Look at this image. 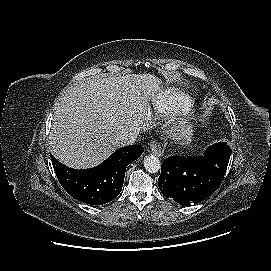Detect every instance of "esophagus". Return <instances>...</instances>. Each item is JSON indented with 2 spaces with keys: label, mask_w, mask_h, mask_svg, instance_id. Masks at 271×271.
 Listing matches in <instances>:
<instances>
[{
  "label": "esophagus",
  "mask_w": 271,
  "mask_h": 271,
  "mask_svg": "<svg viewBox=\"0 0 271 271\" xmlns=\"http://www.w3.org/2000/svg\"><path fill=\"white\" fill-rule=\"evenodd\" d=\"M150 150L153 154H155L157 156H162V154H163L161 145L156 140H153L150 142Z\"/></svg>",
  "instance_id": "34e87169"
}]
</instances>
